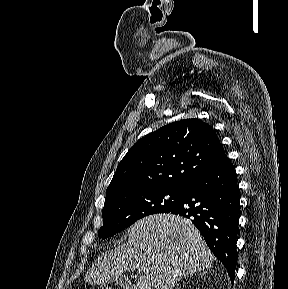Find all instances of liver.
Here are the masks:
<instances>
[{"label":"liver","instance_id":"liver-1","mask_svg":"<svg viewBox=\"0 0 288 289\" xmlns=\"http://www.w3.org/2000/svg\"><path fill=\"white\" fill-rule=\"evenodd\" d=\"M215 257L200 232L173 214H155L134 223L128 241L103 253L88 269L85 281L106 285L126 271L144 273L134 289H173L183 277L208 268Z\"/></svg>","mask_w":288,"mask_h":289}]
</instances>
